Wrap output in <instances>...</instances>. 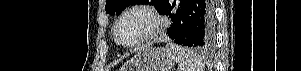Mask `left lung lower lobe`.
I'll return each mask as SVG.
<instances>
[{
    "label": "left lung lower lobe",
    "instance_id": "1",
    "mask_svg": "<svg viewBox=\"0 0 301 71\" xmlns=\"http://www.w3.org/2000/svg\"><path fill=\"white\" fill-rule=\"evenodd\" d=\"M160 13L172 21L167 34L174 43L197 48L214 43L212 0H167Z\"/></svg>",
    "mask_w": 301,
    "mask_h": 71
}]
</instances>
